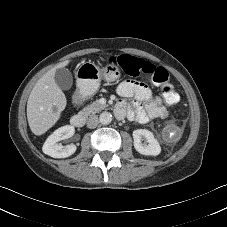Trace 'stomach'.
I'll use <instances>...</instances> for the list:
<instances>
[{"mask_svg":"<svg viewBox=\"0 0 227 227\" xmlns=\"http://www.w3.org/2000/svg\"><path fill=\"white\" fill-rule=\"evenodd\" d=\"M121 76L119 67L110 64L100 69L94 63H82L78 69L77 86L80 93L84 96L94 95L99 86L101 79L108 82H114Z\"/></svg>","mask_w":227,"mask_h":227,"instance_id":"obj_1","label":"stomach"}]
</instances>
